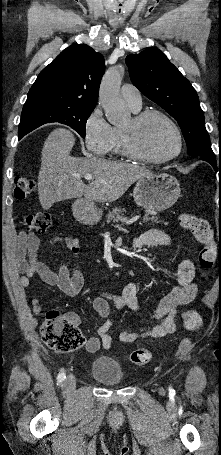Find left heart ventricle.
I'll return each instance as SVG.
<instances>
[{"instance_id": "obj_1", "label": "left heart ventricle", "mask_w": 221, "mask_h": 455, "mask_svg": "<svg viewBox=\"0 0 221 455\" xmlns=\"http://www.w3.org/2000/svg\"><path fill=\"white\" fill-rule=\"evenodd\" d=\"M131 120L123 126L128 128ZM136 146L154 158H164L177 149V139L170 125L160 117L148 119L137 131Z\"/></svg>"}]
</instances>
